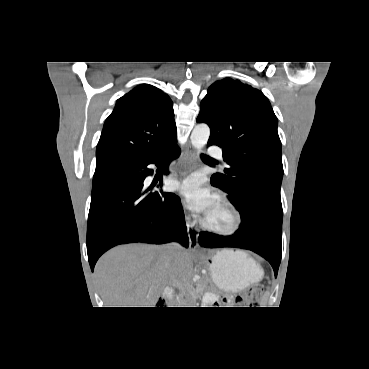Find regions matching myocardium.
<instances>
[{
	"label": "myocardium",
	"mask_w": 369,
	"mask_h": 369,
	"mask_svg": "<svg viewBox=\"0 0 369 369\" xmlns=\"http://www.w3.org/2000/svg\"><path fill=\"white\" fill-rule=\"evenodd\" d=\"M216 202L225 209L230 215V224L227 227H217L210 224L205 217L201 219V226L204 230L218 235V236H231L234 235L240 229L242 223V217L237 207L225 196L218 195Z\"/></svg>",
	"instance_id": "obj_1"
}]
</instances>
